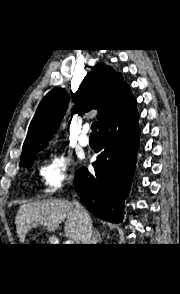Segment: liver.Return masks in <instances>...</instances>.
<instances>
[{
	"mask_svg": "<svg viewBox=\"0 0 180 294\" xmlns=\"http://www.w3.org/2000/svg\"><path fill=\"white\" fill-rule=\"evenodd\" d=\"M65 219V235L74 240L76 244H80L79 219L71 202L51 199L23 204L15 218L19 240L24 242L27 232L34 227H43L48 232H53Z\"/></svg>",
	"mask_w": 180,
	"mask_h": 294,
	"instance_id": "obj_1",
	"label": "liver"
}]
</instances>
